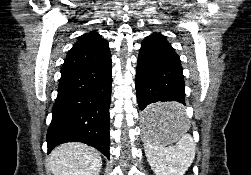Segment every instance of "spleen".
<instances>
[{"label": "spleen", "instance_id": "spleen-1", "mask_svg": "<svg viewBox=\"0 0 251 175\" xmlns=\"http://www.w3.org/2000/svg\"><path fill=\"white\" fill-rule=\"evenodd\" d=\"M178 115L174 125L178 131L177 145L164 147L163 141L170 127V119ZM149 137H146L144 147L146 157L156 175H183L190 167L195 157V143L188 131L190 125L182 109H167V111H150Z\"/></svg>", "mask_w": 251, "mask_h": 175}]
</instances>
